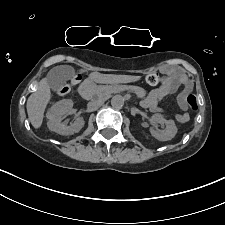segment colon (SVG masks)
Listing matches in <instances>:
<instances>
[{
    "instance_id": "1",
    "label": "colon",
    "mask_w": 225,
    "mask_h": 225,
    "mask_svg": "<svg viewBox=\"0 0 225 225\" xmlns=\"http://www.w3.org/2000/svg\"><path fill=\"white\" fill-rule=\"evenodd\" d=\"M166 76L159 74V73H150L146 76V82L150 85H157L159 83L165 82L166 81ZM69 88L68 87H64L62 89L63 93L68 92ZM187 103L189 108L192 111H197L198 109V102H197V98L194 95H189L187 98Z\"/></svg>"
}]
</instances>
